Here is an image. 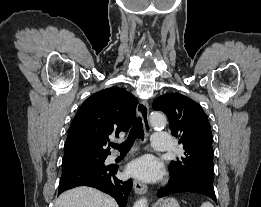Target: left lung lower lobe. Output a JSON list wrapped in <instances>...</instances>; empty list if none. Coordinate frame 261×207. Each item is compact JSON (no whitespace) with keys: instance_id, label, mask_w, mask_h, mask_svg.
<instances>
[{"instance_id":"left-lung-lower-lobe-1","label":"left lung lower lobe","mask_w":261,"mask_h":207,"mask_svg":"<svg viewBox=\"0 0 261 207\" xmlns=\"http://www.w3.org/2000/svg\"><path fill=\"white\" fill-rule=\"evenodd\" d=\"M187 192L206 195L217 203L213 182L205 178L187 176L186 174L181 173H171L168 184L159 190L157 196L164 197L176 193Z\"/></svg>"}]
</instances>
